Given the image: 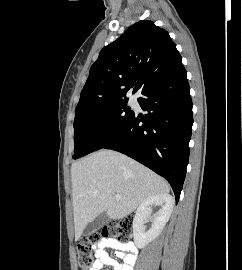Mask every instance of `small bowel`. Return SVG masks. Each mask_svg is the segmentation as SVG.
Listing matches in <instances>:
<instances>
[{
	"mask_svg": "<svg viewBox=\"0 0 242 270\" xmlns=\"http://www.w3.org/2000/svg\"><path fill=\"white\" fill-rule=\"evenodd\" d=\"M108 248L113 249L115 257L123 260V263H119L112 258L106 251ZM136 251L137 249L133 242L104 239L97 244L95 251L96 260L91 270H101L107 265L112 266L114 270H134Z\"/></svg>",
	"mask_w": 242,
	"mask_h": 270,
	"instance_id": "1",
	"label": "small bowel"
}]
</instances>
